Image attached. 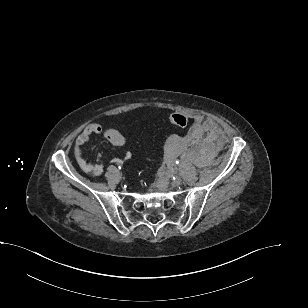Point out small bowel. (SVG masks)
I'll list each match as a JSON object with an SVG mask.
<instances>
[{"label":"small bowel","mask_w":308,"mask_h":308,"mask_svg":"<svg viewBox=\"0 0 308 308\" xmlns=\"http://www.w3.org/2000/svg\"><path fill=\"white\" fill-rule=\"evenodd\" d=\"M96 135H102L107 141L114 146H123L126 142L124 136L113 128L104 129L98 123H91L87 125L83 131L76 137L74 144V155L79 167L87 172L94 175H101L103 172V164L101 162L102 156L99 157V161L96 163H90L86 160L84 155V145ZM131 157L130 153H126L124 159L113 158L112 162L122 165L125 160Z\"/></svg>","instance_id":"1"}]
</instances>
